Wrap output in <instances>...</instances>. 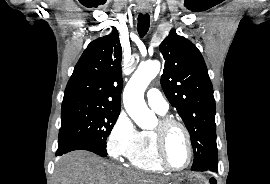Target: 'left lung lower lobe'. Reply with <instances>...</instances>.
Wrapping results in <instances>:
<instances>
[{
  "mask_svg": "<svg viewBox=\"0 0 270 184\" xmlns=\"http://www.w3.org/2000/svg\"><path fill=\"white\" fill-rule=\"evenodd\" d=\"M212 171V172H217L218 171V164L216 165H210V166H205L201 168L199 171Z\"/></svg>",
  "mask_w": 270,
  "mask_h": 184,
  "instance_id": "1",
  "label": "left lung lower lobe"
}]
</instances>
